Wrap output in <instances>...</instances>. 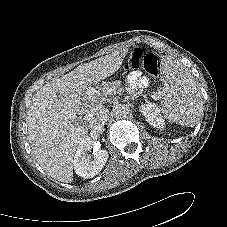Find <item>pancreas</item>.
Returning <instances> with one entry per match:
<instances>
[{"mask_svg": "<svg viewBox=\"0 0 227 227\" xmlns=\"http://www.w3.org/2000/svg\"><path fill=\"white\" fill-rule=\"evenodd\" d=\"M123 92V88L121 87L120 81L107 82L100 91H96L95 89H91L87 91V98L90 100L96 101L97 99L102 100L104 97L108 95H112L114 93L121 94ZM98 100V101H99Z\"/></svg>", "mask_w": 227, "mask_h": 227, "instance_id": "cf45deb5", "label": "pancreas"}]
</instances>
